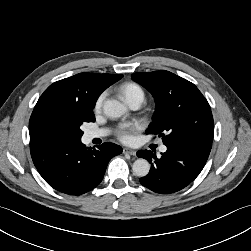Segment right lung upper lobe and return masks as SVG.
Here are the masks:
<instances>
[{"label":"right lung upper lobe","instance_id":"right-lung-upper-lobe-1","mask_svg":"<svg viewBox=\"0 0 251 251\" xmlns=\"http://www.w3.org/2000/svg\"><path fill=\"white\" fill-rule=\"evenodd\" d=\"M120 74L80 73L51 84L39 98L29 121L31 141H46L47 119L53 110L89 108L110 85L120 80ZM96 91L91 92L90 87Z\"/></svg>","mask_w":251,"mask_h":251}]
</instances>
